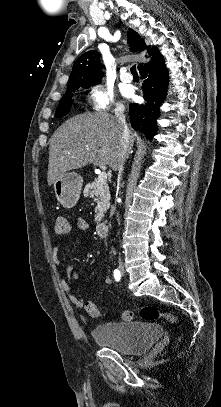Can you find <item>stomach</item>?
Listing matches in <instances>:
<instances>
[{
  "mask_svg": "<svg viewBox=\"0 0 221 407\" xmlns=\"http://www.w3.org/2000/svg\"><path fill=\"white\" fill-rule=\"evenodd\" d=\"M82 177L76 172H65L54 183V193L59 203L65 208L74 207L81 195Z\"/></svg>",
  "mask_w": 221,
  "mask_h": 407,
  "instance_id": "1",
  "label": "stomach"
}]
</instances>
